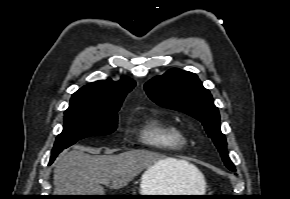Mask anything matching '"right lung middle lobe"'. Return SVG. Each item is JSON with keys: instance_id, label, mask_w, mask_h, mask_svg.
I'll list each match as a JSON object with an SVG mask.
<instances>
[{"instance_id": "right-lung-middle-lobe-1", "label": "right lung middle lobe", "mask_w": 290, "mask_h": 199, "mask_svg": "<svg viewBox=\"0 0 290 199\" xmlns=\"http://www.w3.org/2000/svg\"><path fill=\"white\" fill-rule=\"evenodd\" d=\"M117 111H92L67 109L63 131L56 138L51 157L55 158L62 150L76 141L90 137L108 135L117 128Z\"/></svg>"}]
</instances>
